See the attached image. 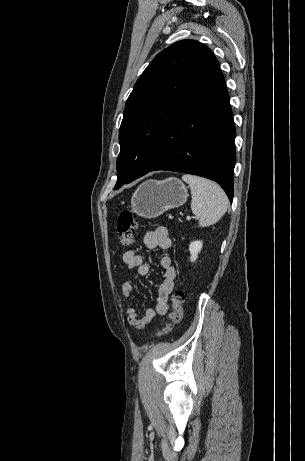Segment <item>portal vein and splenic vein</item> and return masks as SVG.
Here are the masks:
<instances>
[{
    "mask_svg": "<svg viewBox=\"0 0 305 461\" xmlns=\"http://www.w3.org/2000/svg\"><path fill=\"white\" fill-rule=\"evenodd\" d=\"M186 219H187V220H190V219H191V217H190V216H187V217H186Z\"/></svg>",
    "mask_w": 305,
    "mask_h": 461,
    "instance_id": "obj_1",
    "label": "portal vein and splenic vein"
}]
</instances>
